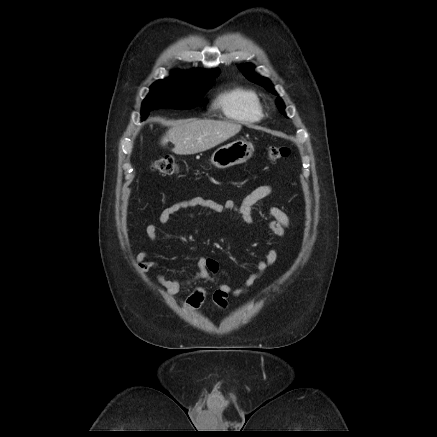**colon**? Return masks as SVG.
Returning <instances> with one entry per match:
<instances>
[{
    "mask_svg": "<svg viewBox=\"0 0 437 437\" xmlns=\"http://www.w3.org/2000/svg\"><path fill=\"white\" fill-rule=\"evenodd\" d=\"M290 155V148L287 146H272L267 149V158L276 161ZM152 169L160 174L172 175L178 171V162L173 156H164L155 160Z\"/></svg>",
    "mask_w": 437,
    "mask_h": 437,
    "instance_id": "5ec220e1",
    "label": "colon"
}]
</instances>
